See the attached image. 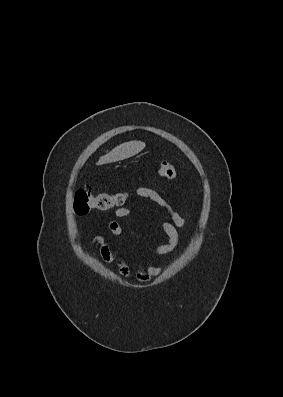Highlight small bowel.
Listing matches in <instances>:
<instances>
[{
	"mask_svg": "<svg viewBox=\"0 0 283 397\" xmlns=\"http://www.w3.org/2000/svg\"><path fill=\"white\" fill-rule=\"evenodd\" d=\"M135 194L137 196L149 199L166 212L169 219H158L157 223L166 235L167 242L157 245L154 248V253L159 256L171 253L178 245V229L185 225V218L174 211L171 206L161 197V195L151 188L138 187L135 190ZM114 216L118 219L131 218L135 216V212L129 208L120 207L114 211ZM108 230L114 236H121L123 234V227L116 219L109 221ZM93 243L98 246L101 258L107 263H115L119 274L125 278L134 276L139 282L146 283L151 281L154 277L159 276L163 271V268L160 266L148 264L137 266V269L133 274L127 262L120 256L118 252L114 251L110 247L109 243L103 236H95Z\"/></svg>",
	"mask_w": 283,
	"mask_h": 397,
	"instance_id": "obj_1",
	"label": "small bowel"
}]
</instances>
